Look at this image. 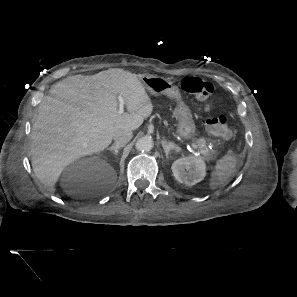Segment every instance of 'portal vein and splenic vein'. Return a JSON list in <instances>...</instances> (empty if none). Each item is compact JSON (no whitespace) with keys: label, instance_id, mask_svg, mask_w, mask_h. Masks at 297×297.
Here are the masks:
<instances>
[{"label":"portal vein and splenic vein","instance_id":"portal-vein-and-splenic-vein-1","mask_svg":"<svg viewBox=\"0 0 297 297\" xmlns=\"http://www.w3.org/2000/svg\"><path fill=\"white\" fill-rule=\"evenodd\" d=\"M118 101H119V114H122L124 111V106L126 104L124 98L121 95H118ZM192 147L196 150L197 146L195 144H192Z\"/></svg>","mask_w":297,"mask_h":297}]
</instances>
